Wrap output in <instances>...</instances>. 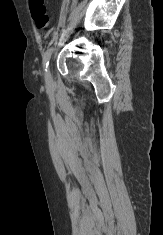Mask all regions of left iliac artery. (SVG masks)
<instances>
[{
    "label": "left iliac artery",
    "mask_w": 163,
    "mask_h": 235,
    "mask_svg": "<svg viewBox=\"0 0 163 235\" xmlns=\"http://www.w3.org/2000/svg\"><path fill=\"white\" fill-rule=\"evenodd\" d=\"M53 50H54V48L51 46L45 51V53L43 55V66L45 68V71L49 65V61H50Z\"/></svg>",
    "instance_id": "obj_1"
}]
</instances>
